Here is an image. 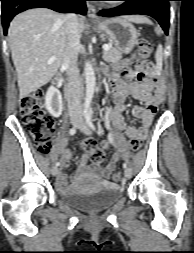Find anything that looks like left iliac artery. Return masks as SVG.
Wrapping results in <instances>:
<instances>
[{"label":"left iliac artery","instance_id":"obj_1","mask_svg":"<svg viewBox=\"0 0 194 253\" xmlns=\"http://www.w3.org/2000/svg\"><path fill=\"white\" fill-rule=\"evenodd\" d=\"M85 118H86V123L88 124V126L93 129V130H96L95 126L93 125L92 123V120H91V115L89 113H87L85 115ZM123 167L126 169L127 168V164L126 163H123Z\"/></svg>","mask_w":194,"mask_h":253}]
</instances>
